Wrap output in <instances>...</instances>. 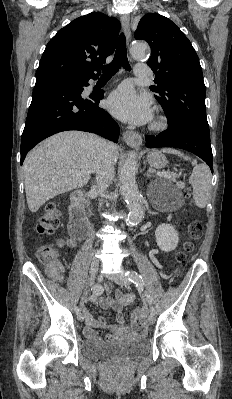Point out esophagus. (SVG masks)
Returning <instances> with one entry per match:
<instances>
[{
    "label": "esophagus",
    "instance_id": "34e87169",
    "mask_svg": "<svg viewBox=\"0 0 232 399\" xmlns=\"http://www.w3.org/2000/svg\"><path fill=\"white\" fill-rule=\"evenodd\" d=\"M121 24L128 44L131 40V30L130 20L126 14L121 16ZM123 139L125 143L130 147H139L142 144V136L137 132H134L133 130H127L126 132H124Z\"/></svg>",
    "mask_w": 232,
    "mask_h": 399
}]
</instances>
